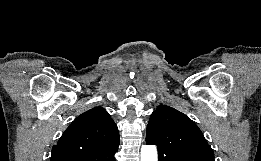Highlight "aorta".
<instances>
[{"label":"aorta","mask_w":261,"mask_h":161,"mask_svg":"<svg viewBox=\"0 0 261 161\" xmlns=\"http://www.w3.org/2000/svg\"><path fill=\"white\" fill-rule=\"evenodd\" d=\"M141 161H158L157 149L155 145H142Z\"/></svg>","instance_id":"762f6f07"}]
</instances>
